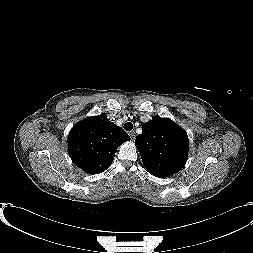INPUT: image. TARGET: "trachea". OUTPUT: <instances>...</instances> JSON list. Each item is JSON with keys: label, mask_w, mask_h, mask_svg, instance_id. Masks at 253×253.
Listing matches in <instances>:
<instances>
[{"label": "trachea", "mask_w": 253, "mask_h": 253, "mask_svg": "<svg viewBox=\"0 0 253 253\" xmlns=\"http://www.w3.org/2000/svg\"><path fill=\"white\" fill-rule=\"evenodd\" d=\"M124 129L126 131H131L133 129V124L131 122H127L124 124Z\"/></svg>", "instance_id": "trachea-1"}]
</instances>
